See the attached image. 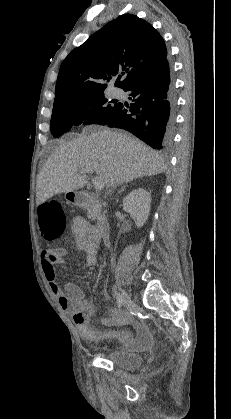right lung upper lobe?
Segmentation results:
<instances>
[{
    "label": "right lung upper lobe",
    "mask_w": 231,
    "mask_h": 419,
    "mask_svg": "<svg viewBox=\"0 0 231 419\" xmlns=\"http://www.w3.org/2000/svg\"><path fill=\"white\" fill-rule=\"evenodd\" d=\"M166 57L164 40L151 24L136 15H121L64 59L54 103L105 91L116 76L115 84L124 89Z\"/></svg>",
    "instance_id": "1"
}]
</instances>
